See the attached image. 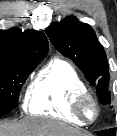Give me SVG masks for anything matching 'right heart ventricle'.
<instances>
[{"label":"right heart ventricle","instance_id":"right-heart-ventricle-1","mask_svg":"<svg viewBox=\"0 0 117 136\" xmlns=\"http://www.w3.org/2000/svg\"><path fill=\"white\" fill-rule=\"evenodd\" d=\"M87 87L75 67L62 58H53L31 80L24 109L31 115L50 116L83 125L71 111L75 98Z\"/></svg>","mask_w":117,"mask_h":136}]
</instances>
